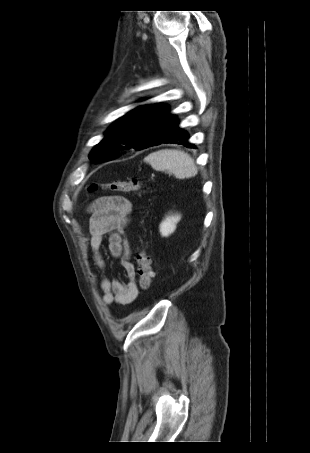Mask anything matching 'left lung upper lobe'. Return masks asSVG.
I'll return each mask as SVG.
<instances>
[{"label":"left lung upper lobe","instance_id":"left-lung-upper-lobe-1","mask_svg":"<svg viewBox=\"0 0 310 453\" xmlns=\"http://www.w3.org/2000/svg\"><path fill=\"white\" fill-rule=\"evenodd\" d=\"M174 117L169 106L150 104L138 107L116 121L106 137L90 153L94 163L111 160L121 150H141L164 138Z\"/></svg>","mask_w":310,"mask_h":453}]
</instances>
